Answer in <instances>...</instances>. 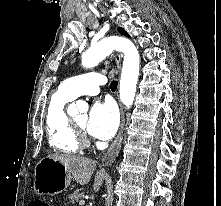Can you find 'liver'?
<instances>
[{"instance_id": "liver-1", "label": "liver", "mask_w": 221, "mask_h": 206, "mask_svg": "<svg viewBox=\"0 0 221 206\" xmlns=\"http://www.w3.org/2000/svg\"><path fill=\"white\" fill-rule=\"evenodd\" d=\"M48 157L63 163L72 178L81 185H85L90 181L97 164L93 159L75 155L52 154ZM105 177L106 173L103 170L97 172L93 185L95 192L99 191Z\"/></svg>"}]
</instances>
